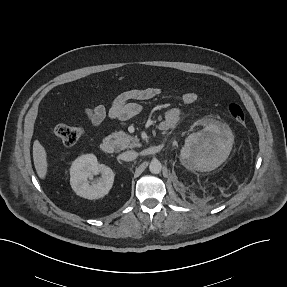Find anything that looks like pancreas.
<instances>
[{
    "label": "pancreas",
    "mask_w": 287,
    "mask_h": 287,
    "mask_svg": "<svg viewBox=\"0 0 287 287\" xmlns=\"http://www.w3.org/2000/svg\"><path fill=\"white\" fill-rule=\"evenodd\" d=\"M111 137L114 139L116 147L120 150L140 146L139 139L137 137H133L123 131L115 132L111 135Z\"/></svg>",
    "instance_id": "obj_1"
}]
</instances>
